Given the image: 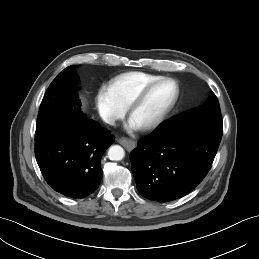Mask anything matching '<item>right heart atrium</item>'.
<instances>
[{"instance_id": "1", "label": "right heart atrium", "mask_w": 259, "mask_h": 259, "mask_svg": "<svg viewBox=\"0 0 259 259\" xmlns=\"http://www.w3.org/2000/svg\"><path fill=\"white\" fill-rule=\"evenodd\" d=\"M96 109L107 124L114 125L125 115V109L119 106L105 88L97 91L95 96Z\"/></svg>"}]
</instances>
